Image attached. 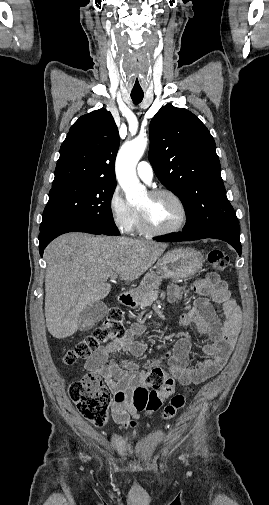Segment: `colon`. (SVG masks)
Returning <instances> with one entry per match:
<instances>
[{
	"mask_svg": "<svg viewBox=\"0 0 269 505\" xmlns=\"http://www.w3.org/2000/svg\"><path fill=\"white\" fill-rule=\"evenodd\" d=\"M208 262L217 271H223L228 266V256L220 249H213L208 254ZM122 311L112 307L104 322L95 330L69 349L63 358L67 365L77 360L90 357L98 352L107 341L124 335ZM175 379L167 375L161 368L156 367L148 371L141 383L134 389L133 405L138 411L152 413L160 409L162 401L172 396L165 406L163 417L173 419L186 404L183 394L174 395ZM70 398L82 416L97 427L105 425L108 418L110 396L100 377L86 375L69 387Z\"/></svg>",
	"mask_w": 269,
	"mask_h": 505,
	"instance_id": "1",
	"label": "colon"
}]
</instances>
